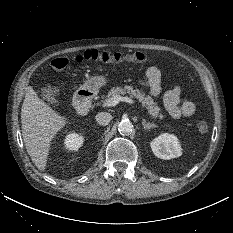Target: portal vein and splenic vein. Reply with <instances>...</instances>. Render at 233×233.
I'll return each instance as SVG.
<instances>
[{"instance_id":"1","label":"portal vein and splenic vein","mask_w":233,"mask_h":233,"mask_svg":"<svg viewBox=\"0 0 233 233\" xmlns=\"http://www.w3.org/2000/svg\"><path fill=\"white\" fill-rule=\"evenodd\" d=\"M120 101H125L130 104H135V102L128 97L115 96L113 98L106 100V102H104V106L112 107L117 105Z\"/></svg>"}]
</instances>
